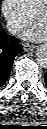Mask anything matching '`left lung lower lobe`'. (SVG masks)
Listing matches in <instances>:
<instances>
[{
    "label": "left lung lower lobe",
    "mask_w": 47,
    "mask_h": 129,
    "mask_svg": "<svg viewBox=\"0 0 47 129\" xmlns=\"http://www.w3.org/2000/svg\"><path fill=\"white\" fill-rule=\"evenodd\" d=\"M44 79H45V82H46V85H47V73H45Z\"/></svg>",
    "instance_id": "obj_1"
}]
</instances>
